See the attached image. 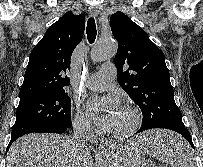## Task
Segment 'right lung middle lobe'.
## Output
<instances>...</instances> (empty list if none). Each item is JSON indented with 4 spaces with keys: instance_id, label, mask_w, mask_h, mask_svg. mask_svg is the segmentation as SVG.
<instances>
[{
    "instance_id": "obj_1",
    "label": "right lung middle lobe",
    "mask_w": 203,
    "mask_h": 167,
    "mask_svg": "<svg viewBox=\"0 0 203 167\" xmlns=\"http://www.w3.org/2000/svg\"><path fill=\"white\" fill-rule=\"evenodd\" d=\"M71 126L70 98L65 91L52 92L19 102L11 138L46 128Z\"/></svg>"
}]
</instances>
